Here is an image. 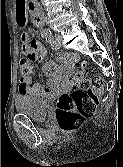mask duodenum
Wrapping results in <instances>:
<instances>
[{"instance_id":"410a0bca","label":"duodenum","mask_w":123,"mask_h":167,"mask_svg":"<svg viewBox=\"0 0 123 167\" xmlns=\"http://www.w3.org/2000/svg\"><path fill=\"white\" fill-rule=\"evenodd\" d=\"M29 8L35 17V20L37 21V28L41 29L43 27L44 16L38 10L35 0H29Z\"/></svg>"}]
</instances>
